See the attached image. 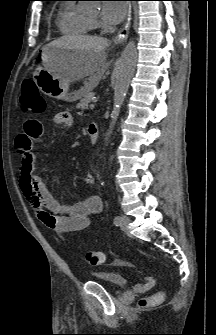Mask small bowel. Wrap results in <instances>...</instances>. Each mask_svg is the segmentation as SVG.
Returning <instances> with one entry per match:
<instances>
[{
	"label": "small bowel",
	"instance_id": "obj_1",
	"mask_svg": "<svg viewBox=\"0 0 216 335\" xmlns=\"http://www.w3.org/2000/svg\"><path fill=\"white\" fill-rule=\"evenodd\" d=\"M54 121L60 126L71 124L67 111L59 112ZM44 120H27L24 132L17 138L16 146L20 153V187L30 209L49 229L58 233H72L86 229L91 216L101 212L102 202L96 195L73 204H63L56 200L45 186L43 179L35 174L33 143L42 135ZM38 135V136H36ZM85 183L93 185L95 178L88 174Z\"/></svg>",
	"mask_w": 216,
	"mask_h": 335
}]
</instances>
